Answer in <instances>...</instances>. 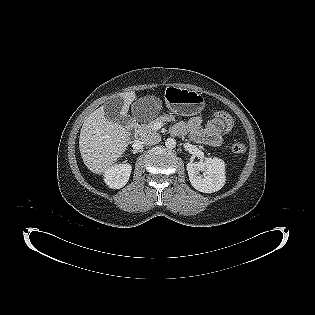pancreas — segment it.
Returning a JSON list of instances; mask_svg holds the SVG:
<instances>
[{
  "label": "pancreas",
  "instance_id": "1",
  "mask_svg": "<svg viewBox=\"0 0 315 315\" xmlns=\"http://www.w3.org/2000/svg\"><path fill=\"white\" fill-rule=\"evenodd\" d=\"M167 121H174L173 115H163L156 118L153 121H150L148 124H142L138 127L137 133L139 134L140 138H144L147 135L151 134H158L154 129L153 125L155 122H167Z\"/></svg>",
  "mask_w": 315,
  "mask_h": 315
}]
</instances>
